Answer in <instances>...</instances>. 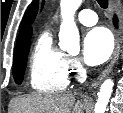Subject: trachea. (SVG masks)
<instances>
[{
    "label": "trachea",
    "instance_id": "3493384b",
    "mask_svg": "<svg viewBox=\"0 0 123 113\" xmlns=\"http://www.w3.org/2000/svg\"><path fill=\"white\" fill-rule=\"evenodd\" d=\"M101 8L106 9L108 7V0H97Z\"/></svg>",
    "mask_w": 123,
    "mask_h": 113
}]
</instances>
